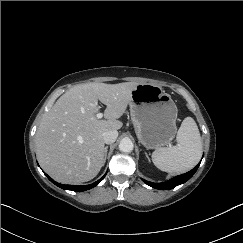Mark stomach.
<instances>
[{"instance_id": "stomach-1", "label": "stomach", "mask_w": 243, "mask_h": 243, "mask_svg": "<svg viewBox=\"0 0 243 243\" xmlns=\"http://www.w3.org/2000/svg\"><path fill=\"white\" fill-rule=\"evenodd\" d=\"M129 106L135 133L145 148H161L175 137L178 109L161 86L138 84L132 91Z\"/></svg>"}]
</instances>
